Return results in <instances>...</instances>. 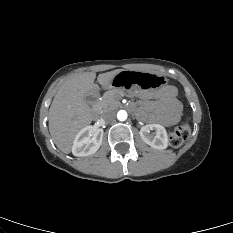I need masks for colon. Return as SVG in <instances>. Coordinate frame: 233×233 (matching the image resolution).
<instances>
[{"instance_id":"5ec220e1","label":"colon","mask_w":233,"mask_h":233,"mask_svg":"<svg viewBox=\"0 0 233 233\" xmlns=\"http://www.w3.org/2000/svg\"><path fill=\"white\" fill-rule=\"evenodd\" d=\"M190 129L186 125L177 126L169 131V144L173 147H179L189 137Z\"/></svg>"}]
</instances>
